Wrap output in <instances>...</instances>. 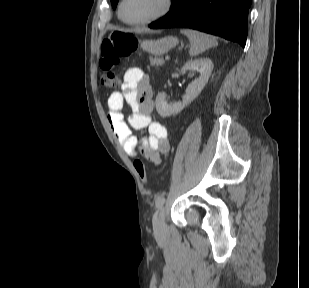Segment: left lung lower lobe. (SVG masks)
Masks as SVG:
<instances>
[{
    "instance_id": "1",
    "label": "left lung lower lobe",
    "mask_w": 309,
    "mask_h": 288,
    "mask_svg": "<svg viewBox=\"0 0 309 288\" xmlns=\"http://www.w3.org/2000/svg\"><path fill=\"white\" fill-rule=\"evenodd\" d=\"M252 0H176L171 11L149 25L152 29L185 27L245 46Z\"/></svg>"
}]
</instances>
